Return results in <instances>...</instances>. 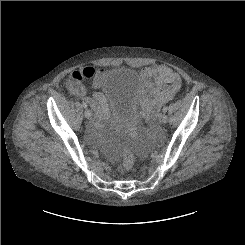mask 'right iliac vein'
I'll list each match as a JSON object with an SVG mask.
<instances>
[{
  "label": "right iliac vein",
  "mask_w": 245,
  "mask_h": 245,
  "mask_svg": "<svg viewBox=\"0 0 245 245\" xmlns=\"http://www.w3.org/2000/svg\"><path fill=\"white\" fill-rule=\"evenodd\" d=\"M91 116H92L91 111H90L89 109H87V110L85 111V117H86L87 119H89V118H91Z\"/></svg>",
  "instance_id": "1"
}]
</instances>
